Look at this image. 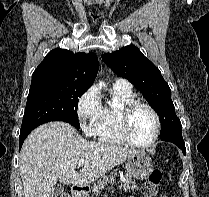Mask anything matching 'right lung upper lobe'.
<instances>
[{
  "instance_id": "1",
  "label": "right lung upper lobe",
  "mask_w": 209,
  "mask_h": 197,
  "mask_svg": "<svg viewBox=\"0 0 209 197\" xmlns=\"http://www.w3.org/2000/svg\"><path fill=\"white\" fill-rule=\"evenodd\" d=\"M98 72V58L93 53H73L56 48L50 51L32 74V82L75 83L90 87Z\"/></svg>"
}]
</instances>
